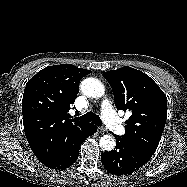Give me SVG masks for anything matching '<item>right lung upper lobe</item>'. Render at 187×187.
<instances>
[{
  "instance_id": "right-lung-upper-lobe-1",
  "label": "right lung upper lobe",
  "mask_w": 187,
  "mask_h": 187,
  "mask_svg": "<svg viewBox=\"0 0 187 187\" xmlns=\"http://www.w3.org/2000/svg\"><path fill=\"white\" fill-rule=\"evenodd\" d=\"M90 73L71 64L55 65L42 69L27 82L22 99L24 131L44 165L65 155L72 137L93 128L91 123L81 121L82 117L71 119L68 114L80 80Z\"/></svg>"
}]
</instances>
